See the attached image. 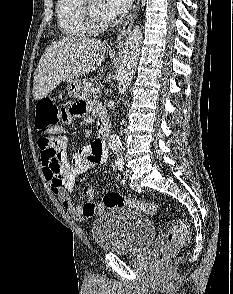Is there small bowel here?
<instances>
[{
    "label": "small bowel",
    "instance_id": "1",
    "mask_svg": "<svg viewBox=\"0 0 233 294\" xmlns=\"http://www.w3.org/2000/svg\"><path fill=\"white\" fill-rule=\"evenodd\" d=\"M97 107L98 105L92 101H79L76 104H71V108H60L59 118L62 120H55L56 128L69 129L72 122H79L80 116L96 112ZM39 146L44 176L64 208L78 221L95 216L96 214L85 212L87 204H95L93 202L94 189L92 187L83 188L82 193L87 201L80 206L73 202L71 192L79 175L106 161L105 145L96 139L71 156V153L67 152L68 137L61 135L56 137L49 147L40 144Z\"/></svg>",
    "mask_w": 233,
    "mask_h": 294
}]
</instances>
